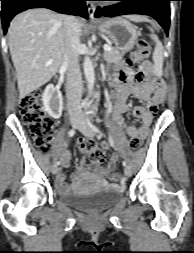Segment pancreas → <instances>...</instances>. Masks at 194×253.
Returning a JSON list of instances; mask_svg holds the SVG:
<instances>
[{"label": "pancreas", "instance_id": "obj_1", "mask_svg": "<svg viewBox=\"0 0 194 253\" xmlns=\"http://www.w3.org/2000/svg\"><path fill=\"white\" fill-rule=\"evenodd\" d=\"M123 55H124V52H121L118 49L111 47L110 51L104 52V60L109 64L110 63H117V62L121 61Z\"/></svg>", "mask_w": 194, "mask_h": 253}]
</instances>
